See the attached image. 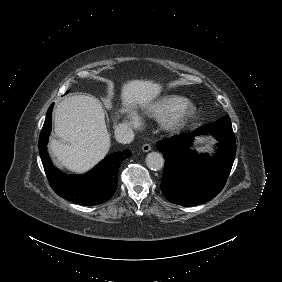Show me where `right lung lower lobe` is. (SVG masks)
Returning <instances> with one entry per match:
<instances>
[{
	"label": "right lung lower lobe",
	"mask_w": 282,
	"mask_h": 282,
	"mask_svg": "<svg viewBox=\"0 0 282 282\" xmlns=\"http://www.w3.org/2000/svg\"><path fill=\"white\" fill-rule=\"evenodd\" d=\"M53 105L48 109L38 142L40 157L50 186L59 196L80 205L93 206L108 201L117 189L121 162L131 156V151L125 150L108 155L84 176H65L52 165L46 151Z\"/></svg>",
	"instance_id": "1"
}]
</instances>
